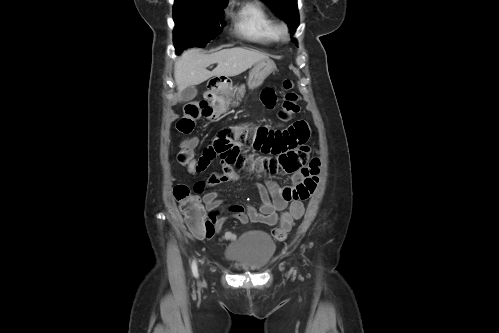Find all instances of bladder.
<instances>
[{
    "label": "bladder",
    "instance_id": "obj_1",
    "mask_svg": "<svg viewBox=\"0 0 499 333\" xmlns=\"http://www.w3.org/2000/svg\"><path fill=\"white\" fill-rule=\"evenodd\" d=\"M276 244L263 231L253 230L231 242L224 251V258L242 271H260L270 262Z\"/></svg>",
    "mask_w": 499,
    "mask_h": 333
}]
</instances>
